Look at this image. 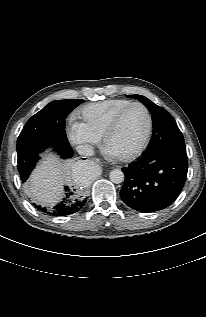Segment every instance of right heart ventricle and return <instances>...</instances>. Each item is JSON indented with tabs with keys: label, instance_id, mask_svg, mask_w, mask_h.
I'll list each match as a JSON object with an SVG mask.
<instances>
[{
	"label": "right heart ventricle",
	"instance_id": "right-heart-ventricle-1",
	"mask_svg": "<svg viewBox=\"0 0 206 317\" xmlns=\"http://www.w3.org/2000/svg\"><path fill=\"white\" fill-rule=\"evenodd\" d=\"M131 103L127 99H108L84 106L79 116L90 133L100 138L113 117Z\"/></svg>",
	"mask_w": 206,
	"mask_h": 317
}]
</instances>
